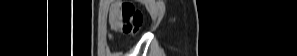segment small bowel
I'll return each instance as SVG.
<instances>
[{
    "mask_svg": "<svg viewBox=\"0 0 297 56\" xmlns=\"http://www.w3.org/2000/svg\"><path fill=\"white\" fill-rule=\"evenodd\" d=\"M109 24L113 30H119L120 17L118 14V4H114L110 9Z\"/></svg>",
    "mask_w": 297,
    "mask_h": 56,
    "instance_id": "1",
    "label": "small bowel"
}]
</instances>
